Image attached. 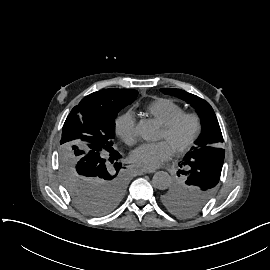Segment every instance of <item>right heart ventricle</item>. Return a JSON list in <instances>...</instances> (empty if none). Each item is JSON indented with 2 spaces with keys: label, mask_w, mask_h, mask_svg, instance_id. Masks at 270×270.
Listing matches in <instances>:
<instances>
[{
  "label": "right heart ventricle",
  "mask_w": 270,
  "mask_h": 270,
  "mask_svg": "<svg viewBox=\"0 0 270 270\" xmlns=\"http://www.w3.org/2000/svg\"><path fill=\"white\" fill-rule=\"evenodd\" d=\"M147 110L162 126L169 125L184 112L182 106L166 98L154 100L148 105Z\"/></svg>",
  "instance_id": "e07e8e85"
}]
</instances>
